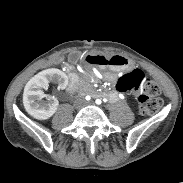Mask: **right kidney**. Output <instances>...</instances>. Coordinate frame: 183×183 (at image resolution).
Listing matches in <instances>:
<instances>
[{
    "label": "right kidney",
    "mask_w": 183,
    "mask_h": 183,
    "mask_svg": "<svg viewBox=\"0 0 183 183\" xmlns=\"http://www.w3.org/2000/svg\"><path fill=\"white\" fill-rule=\"evenodd\" d=\"M50 82L57 83L59 89H65L68 84V78L59 69H47L31 78L24 89V107L28 114L38 120H46L53 116L59 104L54 97H50L48 102L42 100L44 97H48L43 92V89L47 88Z\"/></svg>",
    "instance_id": "right-kidney-1"
}]
</instances>
